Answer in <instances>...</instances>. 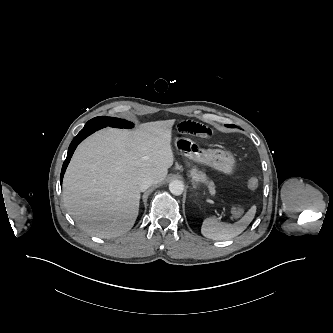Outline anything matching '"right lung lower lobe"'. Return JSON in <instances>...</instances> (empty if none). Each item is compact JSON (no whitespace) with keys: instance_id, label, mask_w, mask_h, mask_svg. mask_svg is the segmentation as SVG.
Instances as JSON below:
<instances>
[{"instance_id":"right-lung-lower-lobe-1","label":"right lung lower lobe","mask_w":333,"mask_h":333,"mask_svg":"<svg viewBox=\"0 0 333 333\" xmlns=\"http://www.w3.org/2000/svg\"><path fill=\"white\" fill-rule=\"evenodd\" d=\"M104 126L100 125V126H93V125H85V127L78 133V135L73 139V141L71 142L69 149H68V154H67V158L63 163L62 166V171H61V176H60V182H62L63 179V175L65 173L66 167L71 159V156L74 152V150L76 149L77 145L83 140L85 139L87 136H89L90 134H92L93 132H95L96 130H99L101 128H103Z\"/></svg>"}]
</instances>
